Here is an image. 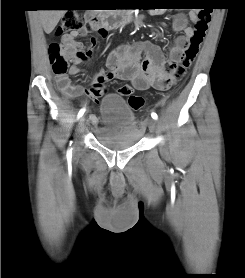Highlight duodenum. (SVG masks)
Listing matches in <instances>:
<instances>
[{
  "mask_svg": "<svg viewBox=\"0 0 245 278\" xmlns=\"http://www.w3.org/2000/svg\"><path fill=\"white\" fill-rule=\"evenodd\" d=\"M98 27L105 28L106 30H112L116 27H119L123 24L133 23L136 21L135 16L132 14L131 10H127L122 13L113 14H104L97 18ZM84 91H74L70 94V97H78L84 95Z\"/></svg>",
  "mask_w": 245,
  "mask_h": 278,
  "instance_id": "obj_1",
  "label": "duodenum"
}]
</instances>
